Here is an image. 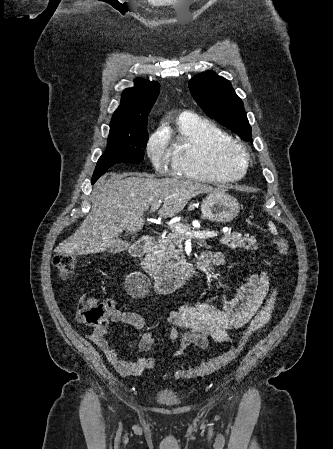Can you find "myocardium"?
Segmentation results:
<instances>
[{
	"label": "myocardium",
	"mask_w": 333,
	"mask_h": 449,
	"mask_svg": "<svg viewBox=\"0 0 333 449\" xmlns=\"http://www.w3.org/2000/svg\"><path fill=\"white\" fill-rule=\"evenodd\" d=\"M219 157L226 167H236L240 163L249 162V152L245 145L231 140L220 147Z\"/></svg>",
	"instance_id": "obj_1"
}]
</instances>
